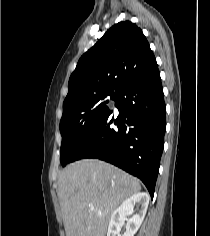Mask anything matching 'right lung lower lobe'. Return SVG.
I'll use <instances>...</instances> for the list:
<instances>
[{
  "label": "right lung lower lobe",
  "mask_w": 210,
  "mask_h": 236,
  "mask_svg": "<svg viewBox=\"0 0 210 236\" xmlns=\"http://www.w3.org/2000/svg\"><path fill=\"white\" fill-rule=\"evenodd\" d=\"M115 105L119 116L110 110L70 162L98 158L112 163L141 179L153 197L166 129L158 66L123 85L116 92Z\"/></svg>",
  "instance_id": "obj_1"
}]
</instances>
